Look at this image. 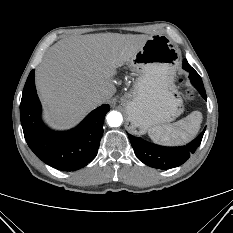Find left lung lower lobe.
Here are the masks:
<instances>
[{
  "mask_svg": "<svg viewBox=\"0 0 233 233\" xmlns=\"http://www.w3.org/2000/svg\"><path fill=\"white\" fill-rule=\"evenodd\" d=\"M183 69L189 72L191 83L196 87L202 97L206 100V92L201 77L188 64L187 60H184L183 62ZM204 132L205 129L192 142L182 147H163L147 143L141 138L135 137L130 134L128 136L134 149V153L140 161L153 168L170 169L180 166L188 160L190 155L195 152L197 147H199Z\"/></svg>",
  "mask_w": 233,
  "mask_h": 233,
  "instance_id": "obj_1",
  "label": "left lung lower lobe"
}]
</instances>
